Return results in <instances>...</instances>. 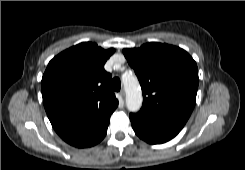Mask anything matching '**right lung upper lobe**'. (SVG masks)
Returning a JSON list of instances; mask_svg holds the SVG:
<instances>
[{"label": "right lung upper lobe", "instance_id": "obj_1", "mask_svg": "<svg viewBox=\"0 0 245 170\" xmlns=\"http://www.w3.org/2000/svg\"><path fill=\"white\" fill-rule=\"evenodd\" d=\"M84 42L54 57L42 77L45 110L57 134L72 146H92L118 105L104 64L114 53Z\"/></svg>", "mask_w": 245, "mask_h": 170}]
</instances>
